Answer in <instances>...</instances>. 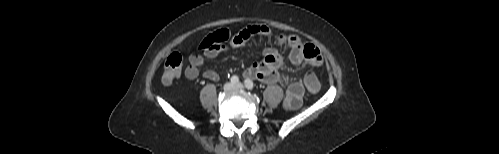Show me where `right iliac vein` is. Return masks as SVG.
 Returning a JSON list of instances; mask_svg holds the SVG:
<instances>
[{"mask_svg": "<svg viewBox=\"0 0 499 154\" xmlns=\"http://www.w3.org/2000/svg\"><path fill=\"white\" fill-rule=\"evenodd\" d=\"M234 87H235L234 84H232V83H226L224 85V90L229 91V90L234 89Z\"/></svg>", "mask_w": 499, "mask_h": 154, "instance_id": "63e3f726", "label": "right iliac vein"}]
</instances>
